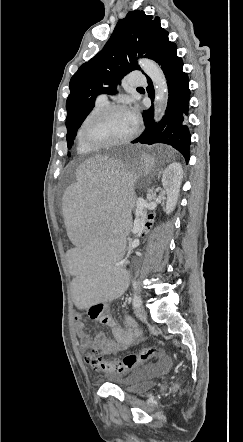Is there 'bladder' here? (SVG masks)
Masks as SVG:
<instances>
[{
  "label": "bladder",
  "mask_w": 243,
  "mask_h": 442,
  "mask_svg": "<svg viewBox=\"0 0 243 442\" xmlns=\"http://www.w3.org/2000/svg\"><path fill=\"white\" fill-rule=\"evenodd\" d=\"M167 365V359L162 358L154 364L136 369L124 378L114 380V383L127 393L142 394L152 387L153 379Z\"/></svg>",
  "instance_id": "31cf9c89"
}]
</instances>
